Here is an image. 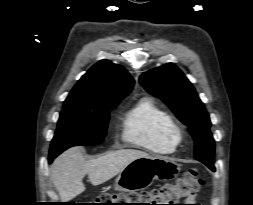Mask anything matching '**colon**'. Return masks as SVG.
Listing matches in <instances>:
<instances>
[{
    "instance_id": "obj_1",
    "label": "colon",
    "mask_w": 253,
    "mask_h": 205,
    "mask_svg": "<svg viewBox=\"0 0 253 205\" xmlns=\"http://www.w3.org/2000/svg\"><path fill=\"white\" fill-rule=\"evenodd\" d=\"M202 185L198 171L191 169L173 183L140 193H106L99 196L97 201L98 205H179L176 203L194 196Z\"/></svg>"
}]
</instances>
